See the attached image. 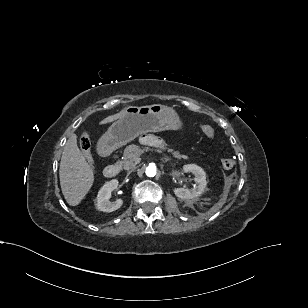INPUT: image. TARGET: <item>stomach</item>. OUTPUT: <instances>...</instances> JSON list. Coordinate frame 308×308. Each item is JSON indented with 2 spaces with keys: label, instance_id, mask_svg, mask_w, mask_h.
<instances>
[{
  "label": "stomach",
  "instance_id": "1",
  "mask_svg": "<svg viewBox=\"0 0 308 308\" xmlns=\"http://www.w3.org/2000/svg\"><path fill=\"white\" fill-rule=\"evenodd\" d=\"M183 123L172 108L161 104L130 106L124 115L115 121L100 138L98 148L112 151L147 132L180 130Z\"/></svg>",
  "mask_w": 308,
  "mask_h": 308
}]
</instances>
